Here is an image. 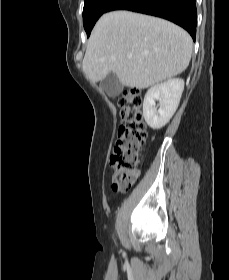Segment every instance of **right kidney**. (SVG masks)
I'll list each match as a JSON object with an SVG mask.
<instances>
[{
  "label": "right kidney",
  "mask_w": 229,
  "mask_h": 280,
  "mask_svg": "<svg viewBox=\"0 0 229 280\" xmlns=\"http://www.w3.org/2000/svg\"><path fill=\"white\" fill-rule=\"evenodd\" d=\"M183 90L184 80L174 78L147 91L143 102V117L152 129H160L169 122L179 105ZM155 100L159 101L158 110Z\"/></svg>",
  "instance_id": "ca27d5eb"
}]
</instances>
